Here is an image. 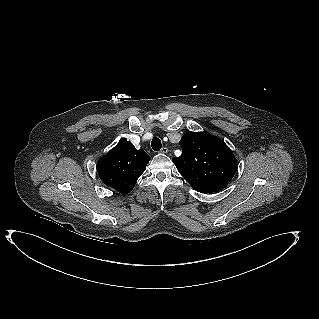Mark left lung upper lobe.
Instances as JSON below:
<instances>
[{
    "instance_id": "obj_1",
    "label": "left lung upper lobe",
    "mask_w": 319,
    "mask_h": 319,
    "mask_svg": "<svg viewBox=\"0 0 319 319\" xmlns=\"http://www.w3.org/2000/svg\"><path fill=\"white\" fill-rule=\"evenodd\" d=\"M180 146L181 156L172 161L196 191H221L235 175L237 161L219 138L202 132H188L181 138Z\"/></svg>"
}]
</instances>
